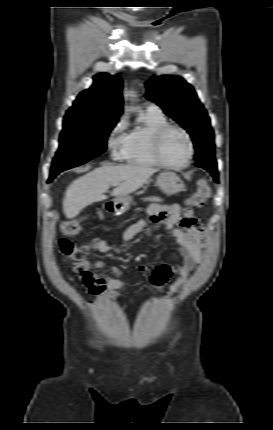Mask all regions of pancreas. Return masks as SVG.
<instances>
[{"instance_id":"cf45deb5","label":"pancreas","mask_w":273,"mask_h":430,"mask_svg":"<svg viewBox=\"0 0 273 430\" xmlns=\"http://www.w3.org/2000/svg\"><path fill=\"white\" fill-rule=\"evenodd\" d=\"M145 201L161 202L162 199L156 196L148 197L144 199Z\"/></svg>"}]
</instances>
